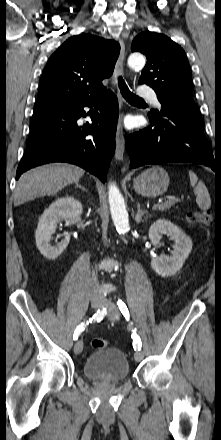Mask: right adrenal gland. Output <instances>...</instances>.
Returning a JSON list of instances; mask_svg holds the SVG:
<instances>
[{"label": "right adrenal gland", "instance_id": "obj_1", "mask_svg": "<svg viewBox=\"0 0 221 440\" xmlns=\"http://www.w3.org/2000/svg\"><path fill=\"white\" fill-rule=\"evenodd\" d=\"M76 187L82 189L83 191H87L86 188L81 186L78 182H76Z\"/></svg>", "mask_w": 221, "mask_h": 440}]
</instances>
